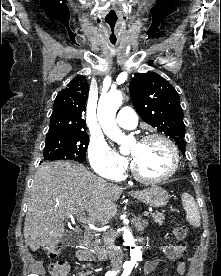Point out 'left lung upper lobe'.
<instances>
[{"label": "left lung upper lobe", "instance_id": "left-lung-upper-lobe-1", "mask_svg": "<svg viewBox=\"0 0 221 276\" xmlns=\"http://www.w3.org/2000/svg\"><path fill=\"white\" fill-rule=\"evenodd\" d=\"M130 96L142 120L174 139L184 153L183 110L175 88L155 72L136 74L130 83Z\"/></svg>", "mask_w": 221, "mask_h": 276}]
</instances>
